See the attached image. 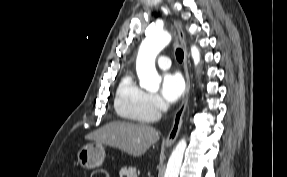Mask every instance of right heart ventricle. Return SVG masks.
Segmentation results:
<instances>
[{"mask_svg": "<svg viewBox=\"0 0 287 177\" xmlns=\"http://www.w3.org/2000/svg\"><path fill=\"white\" fill-rule=\"evenodd\" d=\"M149 95L139 87L131 73L120 81L114 99L117 115L126 121L149 123L156 119L149 108Z\"/></svg>", "mask_w": 287, "mask_h": 177, "instance_id": "e07e8e85", "label": "right heart ventricle"}]
</instances>
